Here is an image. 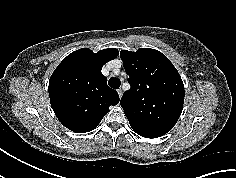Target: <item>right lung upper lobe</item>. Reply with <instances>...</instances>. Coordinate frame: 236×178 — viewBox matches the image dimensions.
Returning a JSON list of instances; mask_svg holds the SVG:
<instances>
[{
    "label": "right lung upper lobe",
    "mask_w": 236,
    "mask_h": 178,
    "mask_svg": "<svg viewBox=\"0 0 236 178\" xmlns=\"http://www.w3.org/2000/svg\"><path fill=\"white\" fill-rule=\"evenodd\" d=\"M109 48L93 53L82 48L68 55L49 80V97L54 113L68 129L77 133L93 130L119 103L117 92L107 86L102 75L104 64L118 56Z\"/></svg>",
    "instance_id": "obj_1"
}]
</instances>
